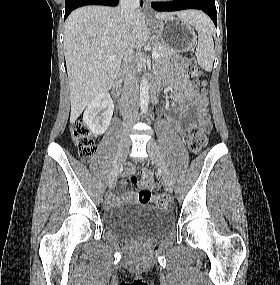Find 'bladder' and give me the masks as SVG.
<instances>
[{"instance_id":"obj_1","label":"bladder","mask_w":280,"mask_h":285,"mask_svg":"<svg viewBox=\"0 0 280 285\" xmlns=\"http://www.w3.org/2000/svg\"><path fill=\"white\" fill-rule=\"evenodd\" d=\"M103 222L120 236L153 238L166 232L173 218L167 210L151 205L118 206L103 212Z\"/></svg>"}]
</instances>
